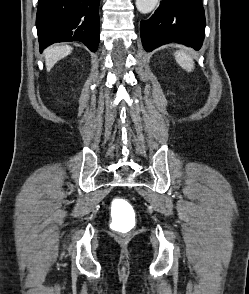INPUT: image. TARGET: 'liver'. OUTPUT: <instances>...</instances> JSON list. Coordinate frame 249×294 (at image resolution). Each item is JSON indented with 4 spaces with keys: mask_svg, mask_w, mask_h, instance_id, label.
Instances as JSON below:
<instances>
[{
    "mask_svg": "<svg viewBox=\"0 0 249 294\" xmlns=\"http://www.w3.org/2000/svg\"><path fill=\"white\" fill-rule=\"evenodd\" d=\"M71 52L72 47L69 45H56L47 48L44 52L47 71H50L59 60L66 57Z\"/></svg>",
    "mask_w": 249,
    "mask_h": 294,
    "instance_id": "obj_1",
    "label": "liver"
}]
</instances>
